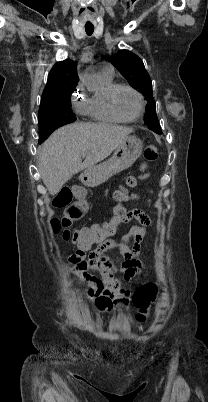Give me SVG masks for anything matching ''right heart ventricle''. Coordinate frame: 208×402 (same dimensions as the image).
I'll list each match as a JSON object with an SVG mask.
<instances>
[{"label":"right heart ventricle","instance_id":"1","mask_svg":"<svg viewBox=\"0 0 208 402\" xmlns=\"http://www.w3.org/2000/svg\"><path fill=\"white\" fill-rule=\"evenodd\" d=\"M102 90L94 92L89 100L88 114L90 123L95 126H115L122 122L113 116L108 106V94L110 90L116 86L113 78H107L98 75Z\"/></svg>","mask_w":208,"mask_h":402}]
</instances>
